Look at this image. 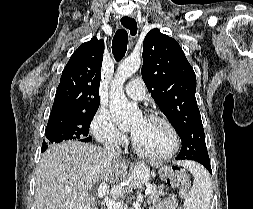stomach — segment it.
Instances as JSON below:
<instances>
[{
  "mask_svg": "<svg viewBox=\"0 0 253 209\" xmlns=\"http://www.w3.org/2000/svg\"><path fill=\"white\" fill-rule=\"evenodd\" d=\"M166 179H169V174L167 173V171H162L161 168V170L159 171V180L160 182H165Z\"/></svg>",
  "mask_w": 253,
  "mask_h": 209,
  "instance_id": "1",
  "label": "stomach"
}]
</instances>
